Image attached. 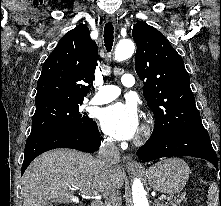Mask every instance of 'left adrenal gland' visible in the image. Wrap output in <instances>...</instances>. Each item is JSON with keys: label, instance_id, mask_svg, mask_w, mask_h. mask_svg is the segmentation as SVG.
Masks as SVG:
<instances>
[{"label": "left adrenal gland", "instance_id": "a2214340", "mask_svg": "<svg viewBox=\"0 0 221 206\" xmlns=\"http://www.w3.org/2000/svg\"><path fill=\"white\" fill-rule=\"evenodd\" d=\"M155 206H165L164 204H161L160 201L155 200L154 201Z\"/></svg>", "mask_w": 221, "mask_h": 206}]
</instances>
